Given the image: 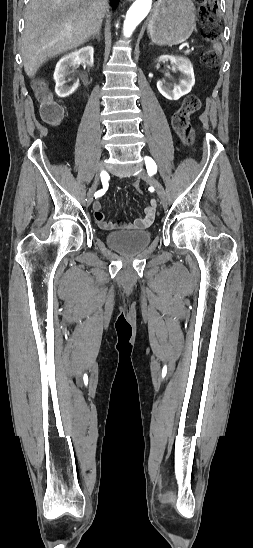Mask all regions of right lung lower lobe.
<instances>
[{
	"label": "right lung lower lobe",
	"instance_id": "obj_1",
	"mask_svg": "<svg viewBox=\"0 0 253 548\" xmlns=\"http://www.w3.org/2000/svg\"><path fill=\"white\" fill-rule=\"evenodd\" d=\"M113 3H115L117 0H111Z\"/></svg>",
	"mask_w": 253,
	"mask_h": 548
}]
</instances>
